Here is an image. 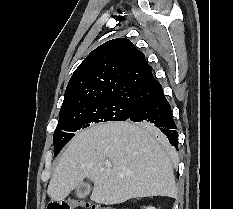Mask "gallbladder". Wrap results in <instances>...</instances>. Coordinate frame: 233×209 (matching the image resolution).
<instances>
[{
  "mask_svg": "<svg viewBox=\"0 0 233 209\" xmlns=\"http://www.w3.org/2000/svg\"><path fill=\"white\" fill-rule=\"evenodd\" d=\"M89 191H90L89 185L87 183H82L76 188L75 195L78 198H85L89 195Z\"/></svg>",
  "mask_w": 233,
  "mask_h": 209,
  "instance_id": "1",
  "label": "gallbladder"
}]
</instances>
